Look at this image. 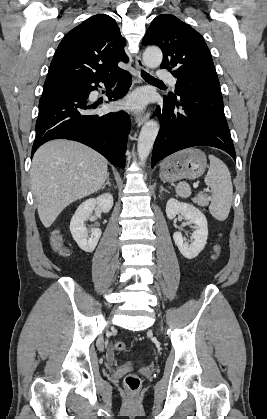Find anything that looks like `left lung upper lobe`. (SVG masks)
<instances>
[{"label": "left lung upper lobe", "mask_w": 267, "mask_h": 419, "mask_svg": "<svg viewBox=\"0 0 267 419\" xmlns=\"http://www.w3.org/2000/svg\"><path fill=\"white\" fill-rule=\"evenodd\" d=\"M144 46L157 45L163 52L162 69L177 79L175 94L204 88L220 89L211 53L204 38L188 24L170 14L157 16L142 40Z\"/></svg>", "instance_id": "left-lung-upper-lobe-1"}]
</instances>
